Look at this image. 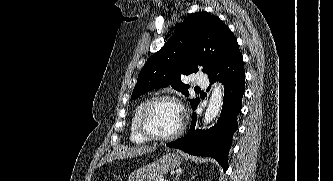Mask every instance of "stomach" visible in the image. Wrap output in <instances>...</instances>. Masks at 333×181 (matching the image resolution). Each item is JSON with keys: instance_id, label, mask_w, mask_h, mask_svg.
I'll return each instance as SVG.
<instances>
[{"instance_id": "0dacf381", "label": "stomach", "mask_w": 333, "mask_h": 181, "mask_svg": "<svg viewBox=\"0 0 333 181\" xmlns=\"http://www.w3.org/2000/svg\"><path fill=\"white\" fill-rule=\"evenodd\" d=\"M182 164V159L174 153H166L159 156L151 163L145 164L134 170L128 181H156L157 178L178 168Z\"/></svg>"}]
</instances>
